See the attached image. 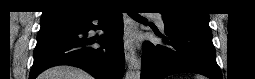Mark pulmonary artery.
Returning <instances> with one entry per match:
<instances>
[{
  "instance_id": "obj_1",
  "label": "pulmonary artery",
  "mask_w": 255,
  "mask_h": 79,
  "mask_svg": "<svg viewBox=\"0 0 255 79\" xmlns=\"http://www.w3.org/2000/svg\"><path fill=\"white\" fill-rule=\"evenodd\" d=\"M156 21H157V24H158V26L161 28V29H164V22H163V19H162V17L161 16H157L156 17Z\"/></svg>"
}]
</instances>
